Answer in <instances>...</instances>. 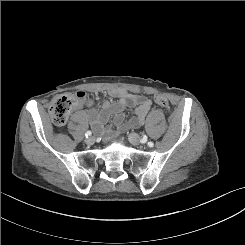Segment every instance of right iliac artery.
Wrapping results in <instances>:
<instances>
[{
  "label": "right iliac artery",
  "mask_w": 245,
  "mask_h": 245,
  "mask_svg": "<svg viewBox=\"0 0 245 245\" xmlns=\"http://www.w3.org/2000/svg\"><path fill=\"white\" fill-rule=\"evenodd\" d=\"M92 135V133H91V131H87L86 133H85V136L88 138V137H90Z\"/></svg>",
  "instance_id": "obj_1"
}]
</instances>
